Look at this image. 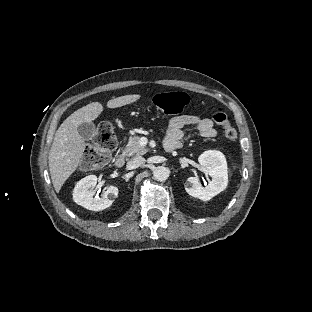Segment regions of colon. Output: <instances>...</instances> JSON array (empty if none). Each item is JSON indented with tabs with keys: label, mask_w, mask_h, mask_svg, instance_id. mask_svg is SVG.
Returning <instances> with one entry per match:
<instances>
[{
	"label": "colon",
	"mask_w": 312,
	"mask_h": 312,
	"mask_svg": "<svg viewBox=\"0 0 312 312\" xmlns=\"http://www.w3.org/2000/svg\"><path fill=\"white\" fill-rule=\"evenodd\" d=\"M188 102L189 97L184 92L161 93L156 99L155 111L173 115L180 113ZM211 118L222 127L228 141H236L237 132L224 110L217 109L211 114ZM94 141L95 150L88 149L82 155V165L85 168H102L108 164L112 152L117 147V137L110 122L99 123L94 131Z\"/></svg>",
	"instance_id": "colon-1"
}]
</instances>
